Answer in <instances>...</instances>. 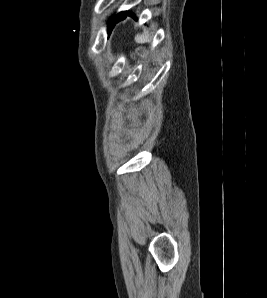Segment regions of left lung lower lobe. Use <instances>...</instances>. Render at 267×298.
<instances>
[{
	"mask_svg": "<svg viewBox=\"0 0 267 298\" xmlns=\"http://www.w3.org/2000/svg\"><path fill=\"white\" fill-rule=\"evenodd\" d=\"M127 15L134 17V14H132L131 12H128V11L121 12V13L115 15L114 17H112L111 20L108 22V30H109V32L113 28L114 24H116L119 20L125 19V17Z\"/></svg>",
	"mask_w": 267,
	"mask_h": 298,
	"instance_id": "left-lung-lower-lobe-1",
	"label": "left lung lower lobe"
}]
</instances>
